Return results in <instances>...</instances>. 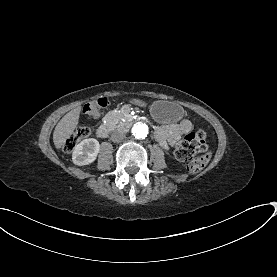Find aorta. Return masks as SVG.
Segmentation results:
<instances>
[{
    "mask_svg": "<svg viewBox=\"0 0 277 277\" xmlns=\"http://www.w3.org/2000/svg\"><path fill=\"white\" fill-rule=\"evenodd\" d=\"M131 131H132V135L136 139H144L149 132V128L145 123L137 122L133 125Z\"/></svg>",
    "mask_w": 277,
    "mask_h": 277,
    "instance_id": "1",
    "label": "aorta"
}]
</instances>
